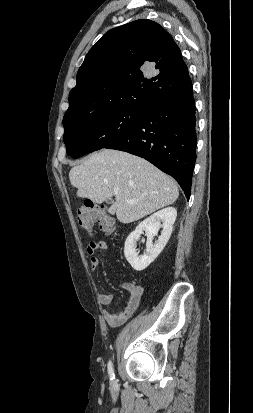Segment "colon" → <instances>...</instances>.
Listing matches in <instances>:
<instances>
[{"mask_svg":"<svg viewBox=\"0 0 253 413\" xmlns=\"http://www.w3.org/2000/svg\"><path fill=\"white\" fill-rule=\"evenodd\" d=\"M77 221L81 230L91 232L93 225L98 222L100 229L110 235L114 232V220L106 212L104 206L95 203H85L79 207Z\"/></svg>","mask_w":253,"mask_h":413,"instance_id":"5ec220e1","label":"colon"}]
</instances>
